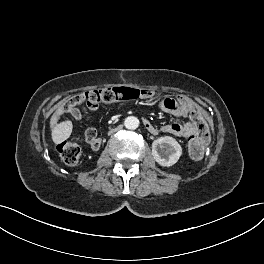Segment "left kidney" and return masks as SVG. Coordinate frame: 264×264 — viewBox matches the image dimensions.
Returning <instances> with one entry per match:
<instances>
[{"label": "left kidney", "instance_id": "left-kidney-1", "mask_svg": "<svg viewBox=\"0 0 264 264\" xmlns=\"http://www.w3.org/2000/svg\"><path fill=\"white\" fill-rule=\"evenodd\" d=\"M182 147L170 136H163L153 141L152 155L161 166H172L182 155Z\"/></svg>", "mask_w": 264, "mask_h": 264}]
</instances>
